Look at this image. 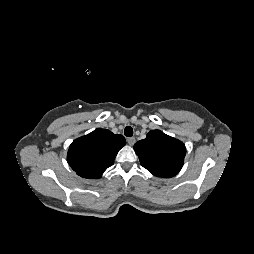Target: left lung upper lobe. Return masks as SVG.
Returning <instances> with one entry per match:
<instances>
[{"instance_id": "1", "label": "left lung upper lobe", "mask_w": 254, "mask_h": 254, "mask_svg": "<svg viewBox=\"0 0 254 254\" xmlns=\"http://www.w3.org/2000/svg\"><path fill=\"white\" fill-rule=\"evenodd\" d=\"M141 165L157 177H173L181 170L185 145L160 130H152L134 145Z\"/></svg>"}]
</instances>
